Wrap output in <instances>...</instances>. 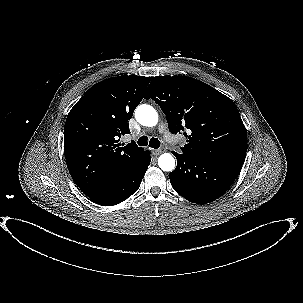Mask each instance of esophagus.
Segmentation results:
<instances>
[{"label":"esophagus","instance_id":"34e87169","mask_svg":"<svg viewBox=\"0 0 303 303\" xmlns=\"http://www.w3.org/2000/svg\"><path fill=\"white\" fill-rule=\"evenodd\" d=\"M163 152H164L163 148L153 150V154L156 155V156L163 153Z\"/></svg>","mask_w":303,"mask_h":303}]
</instances>
